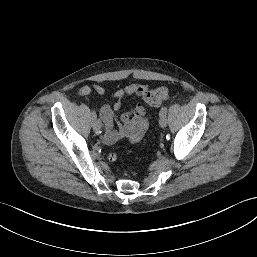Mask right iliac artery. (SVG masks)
<instances>
[{
    "mask_svg": "<svg viewBox=\"0 0 257 257\" xmlns=\"http://www.w3.org/2000/svg\"><path fill=\"white\" fill-rule=\"evenodd\" d=\"M96 119H97L96 112H95V110H92L91 111V120H92V122L96 121Z\"/></svg>",
    "mask_w": 257,
    "mask_h": 257,
    "instance_id": "right-iliac-artery-1",
    "label": "right iliac artery"
}]
</instances>
